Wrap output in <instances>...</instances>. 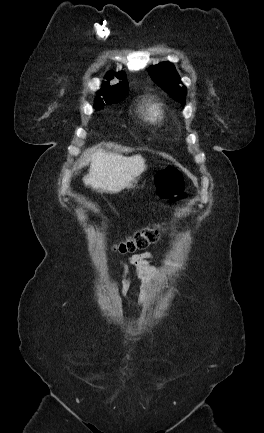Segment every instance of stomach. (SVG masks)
<instances>
[{
	"label": "stomach",
	"mask_w": 264,
	"mask_h": 433,
	"mask_svg": "<svg viewBox=\"0 0 264 433\" xmlns=\"http://www.w3.org/2000/svg\"><path fill=\"white\" fill-rule=\"evenodd\" d=\"M138 182H139V177H136L124 189L132 190L137 186Z\"/></svg>",
	"instance_id": "0dacf381"
}]
</instances>
